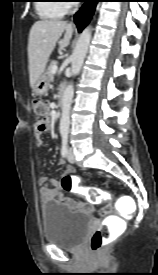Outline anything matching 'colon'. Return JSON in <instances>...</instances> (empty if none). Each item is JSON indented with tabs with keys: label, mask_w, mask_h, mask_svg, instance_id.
<instances>
[{
	"label": "colon",
	"mask_w": 158,
	"mask_h": 275,
	"mask_svg": "<svg viewBox=\"0 0 158 275\" xmlns=\"http://www.w3.org/2000/svg\"><path fill=\"white\" fill-rule=\"evenodd\" d=\"M33 112L35 116V128L43 132L48 128L49 123V107L45 101L35 99L32 102ZM61 187L64 192H75L85 196L90 202H106L110 195L99 189L83 187L81 178L77 175L66 174L62 177ZM107 209L104 213H107ZM117 236V231L107 225L97 229L90 238V248L94 252H100L109 242L113 241Z\"/></svg>",
	"instance_id": "colon-1"
}]
</instances>
